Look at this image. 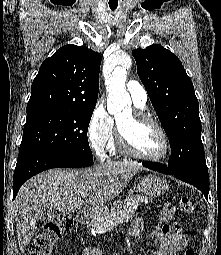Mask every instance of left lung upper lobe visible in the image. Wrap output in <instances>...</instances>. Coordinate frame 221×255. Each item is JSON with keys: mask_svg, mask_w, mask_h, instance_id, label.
<instances>
[{"mask_svg": "<svg viewBox=\"0 0 221 255\" xmlns=\"http://www.w3.org/2000/svg\"><path fill=\"white\" fill-rule=\"evenodd\" d=\"M132 55L170 142L169 169L179 171L206 165L199 103L180 60L157 44L133 50Z\"/></svg>", "mask_w": 221, "mask_h": 255, "instance_id": "obj_1", "label": "left lung upper lobe"}]
</instances>
